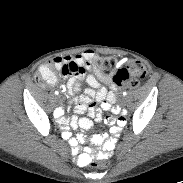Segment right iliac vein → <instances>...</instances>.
<instances>
[{
    "mask_svg": "<svg viewBox=\"0 0 183 183\" xmlns=\"http://www.w3.org/2000/svg\"><path fill=\"white\" fill-rule=\"evenodd\" d=\"M62 98V96H59V99H61Z\"/></svg>",
    "mask_w": 183,
    "mask_h": 183,
    "instance_id": "1",
    "label": "right iliac vein"
}]
</instances>
